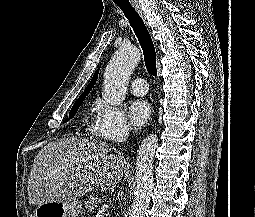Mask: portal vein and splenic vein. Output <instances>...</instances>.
Wrapping results in <instances>:
<instances>
[{"label": "portal vein and splenic vein", "instance_id": "18ae733b", "mask_svg": "<svg viewBox=\"0 0 255 217\" xmlns=\"http://www.w3.org/2000/svg\"><path fill=\"white\" fill-rule=\"evenodd\" d=\"M109 208V206L108 205H103L102 207H101V209L98 211V213H97V217H101L103 214H104V212L107 210Z\"/></svg>", "mask_w": 255, "mask_h": 217}]
</instances>
